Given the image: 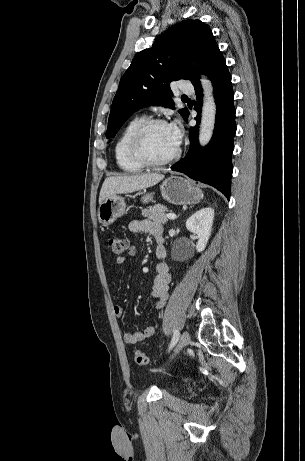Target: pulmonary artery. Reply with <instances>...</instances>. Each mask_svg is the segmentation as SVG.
I'll list each match as a JSON object with an SVG mask.
<instances>
[{
  "label": "pulmonary artery",
  "mask_w": 305,
  "mask_h": 461,
  "mask_svg": "<svg viewBox=\"0 0 305 461\" xmlns=\"http://www.w3.org/2000/svg\"><path fill=\"white\" fill-rule=\"evenodd\" d=\"M180 89H181V91L183 93H192L193 92V87L188 85V84H182Z\"/></svg>",
  "instance_id": "e3ab8cb5"
}]
</instances>
